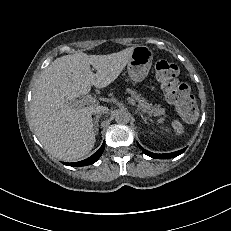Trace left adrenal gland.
Instances as JSON below:
<instances>
[{
    "label": "left adrenal gland",
    "instance_id": "a2214340",
    "mask_svg": "<svg viewBox=\"0 0 231 231\" xmlns=\"http://www.w3.org/2000/svg\"><path fill=\"white\" fill-rule=\"evenodd\" d=\"M136 113H138L140 115V117L142 118V120L146 123L147 122V118L145 116H143L142 112L140 111H136Z\"/></svg>",
    "mask_w": 231,
    "mask_h": 231
}]
</instances>
